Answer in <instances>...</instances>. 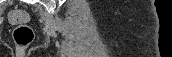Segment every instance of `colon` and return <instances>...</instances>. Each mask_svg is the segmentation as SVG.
I'll use <instances>...</instances> for the list:
<instances>
[{
    "label": "colon",
    "instance_id": "obj_1",
    "mask_svg": "<svg viewBox=\"0 0 172 57\" xmlns=\"http://www.w3.org/2000/svg\"><path fill=\"white\" fill-rule=\"evenodd\" d=\"M11 24L15 25L13 39L20 52L25 51L34 40V31L25 22L28 14L21 10H12L8 15Z\"/></svg>",
    "mask_w": 172,
    "mask_h": 57
}]
</instances>
